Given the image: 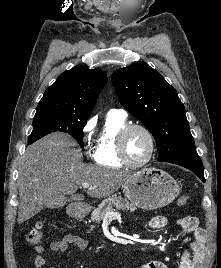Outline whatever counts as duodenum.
Masks as SVG:
<instances>
[{
  "instance_id": "obj_1",
  "label": "duodenum",
  "mask_w": 221,
  "mask_h": 268,
  "mask_svg": "<svg viewBox=\"0 0 221 268\" xmlns=\"http://www.w3.org/2000/svg\"><path fill=\"white\" fill-rule=\"evenodd\" d=\"M71 213L75 218H83L86 214L85 210L81 208H75L71 211Z\"/></svg>"
}]
</instances>
